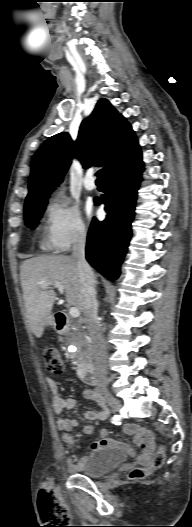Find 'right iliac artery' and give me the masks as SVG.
Instances as JSON below:
<instances>
[{"mask_svg":"<svg viewBox=\"0 0 192 527\" xmlns=\"http://www.w3.org/2000/svg\"><path fill=\"white\" fill-rule=\"evenodd\" d=\"M112 421H111V426H116V428H121V426L123 425V422H122V419H123V416H119V413H118V416H112Z\"/></svg>","mask_w":192,"mask_h":527,"instance_id":"obj_1","label":"right iliac artery"}]
</instances>
